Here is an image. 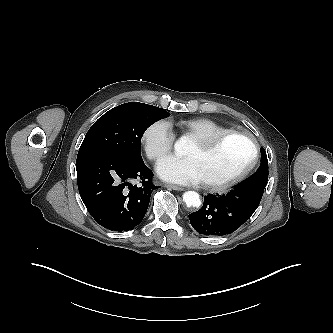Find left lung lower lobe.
<instances>
[{
  "label": "left lung lower lobe",
  "mask_w": 333,
  "mask_h": 333,
  "mask_svg": "<svg viewBox=\"0 0 333 333\" xmlns=\"http://www.w3.org/2000/svg\"><path fill=\"white\" fill-rule=\"evenodd\" d=\"M264 191L235 187L227 194L204 197L202 208L189 215L192 227L205 236L229 234L257 209Z\"/></svg>",
  "instance_id": "0a47b994"
}]
</instances>
